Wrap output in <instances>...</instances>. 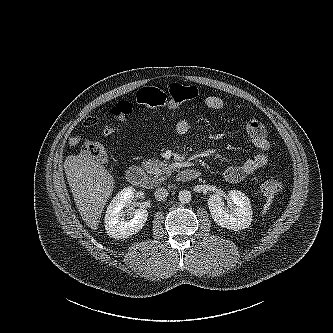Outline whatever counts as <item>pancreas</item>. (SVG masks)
<instances>
[{"mask_svg": "<svg viewBox=\"0 0 333 333\" xmlns=\"http://www.w3.org/2000/svg\"><path fill=\"white\" fill-rule=\"evenodd\" d=\"M144 168L156 179H159V181H164L166 178L170 177L173 171H175V168L172 165H169L166 162H161L157 159L145 161Z\"/></svg>", "mask_w": 333, "mask_h": 333, "instance_id": "pancreas-1", "label": "pancreas"}]
</instances>
